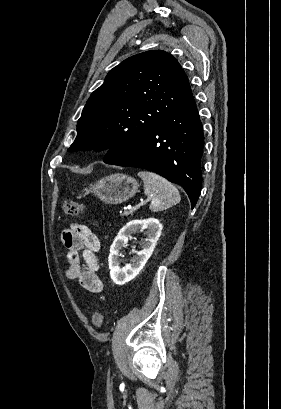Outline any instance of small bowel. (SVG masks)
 Returning a JSON list of instances; mask_svg holds the SVG:
<instances>
[{
    "label": "small bowel",
    "mask_w": 281,
    "mask_h": 409,
    "mask_svg": "<svg viewBox=\"0 0 281 409\" xmlns=\"http://www.w3.org/2000/svg\"><path fill=\"white\" fill-rule=\"evenodd\" d=\"M61 239L67 249V278L77 280L90 292H101L103 286L98 276L97 258L101 243L98 235L88 226L74 223L62 232Z\"/></svg>",
    "instance_id": "c3829d8e"
}]
</instances>
